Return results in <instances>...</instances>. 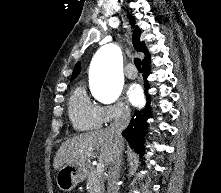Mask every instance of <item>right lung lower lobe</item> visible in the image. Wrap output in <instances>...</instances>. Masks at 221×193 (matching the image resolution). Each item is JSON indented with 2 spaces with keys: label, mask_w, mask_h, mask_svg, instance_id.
<instances>
[{
  "label": "right lung lower lobe",
  "mask_w": 221,
  "mask_h": 193,
  "mask_svg": "<svg viewBox=\"0 0 221 193\" xmlns=\"http://www.w3.org/2000/svg\"><path fill=\"white\" fill-rule=\"evenodd\" d=\"M143 78L145 80V89H149V85L146 81L149 73V62L143 63ZM147 94V93H146ZM151 115V107H150V99L148 97L147 104L144 109L140 111H136L134 116L132 117L130 124L128 127L122 132V135L127 139L128 143L132 148L135 149L136 152L143 153V137L145 131L147 130V122L146 120L150 118Z\"/></svg>",
  "instance_id": "1"
}]
</instances>
